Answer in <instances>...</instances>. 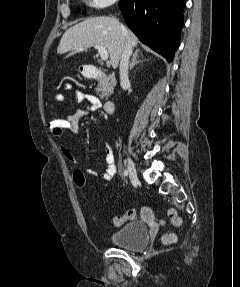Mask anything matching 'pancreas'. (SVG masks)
I'll return each mask as SVG.
<instances>
[{
  "label": "pancreas",
  "mask_w": 240,
  "mask_h": 287,
  "mask_svg": "<svg viewBox=\"0 0 240 287\" xmlns=\"http://www.w3.org/2000/svg\"><path fill=\"white\" fill-rule=\"evenodd\" d=\"M116 85L115 76L109 75L99 78L96 92L101 99H107L113 92L114 86Z\"/></svg>",
  "instance_id": "1"
}]
</instances>
